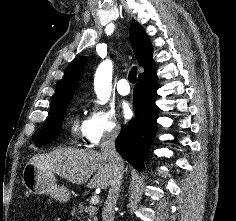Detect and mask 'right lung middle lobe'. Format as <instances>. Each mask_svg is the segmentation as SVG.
I'll use <instances>...</instances> for the list:
<instances>
[{
	"label": "right lung middle lobe",
	"mask_w": 236,
	"mask_h": 221,
	"mask_svg": "<svg viewBox=\"0 0 236 221\" xmlns=\"http://www.w3.org/2000/svg\"><path fill=\"white\" fill-rule=\"evenodd\" d=\"M68 104L69 101L50 110L49 117L35 142L38 147L48 144L58 137Z\"/></svg>",
	"instance_id": "1"
}]
</instances>
